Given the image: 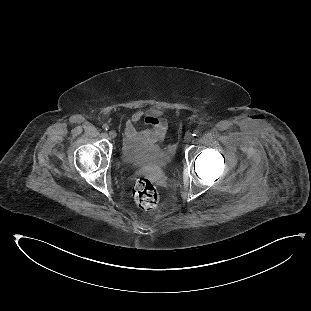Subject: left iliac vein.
Returning <instances> with one entry per match:
<instances>
[{"mask_svg": "<svg viewBox=\"0 0 311 311\" xmlns=\"http://www.w3.org/2000/svg\"><path fill=\"white\" fill-rule=\"evenodd\" d=\"M193 136L191 133H186L184 139L186 142H190L192 140Z\"/></svg>", "mask_w": 311, "mask_h": 311, "instance_id": "4c4485c4", "label": "left iliac vein"}]
</instances>
